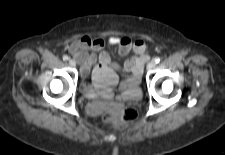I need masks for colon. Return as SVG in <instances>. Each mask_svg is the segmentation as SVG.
Masks as SVG:
<instances>
[{
  "label": "colon",
  "instance_id": "1",
  "mask_svg": "<svg viewBox=\"0 0 225 155\" xmlns=\"http://www.w3.org/2000/svg\"><path fill=\"white\" fill-rule=\"evenodd\" d=\"M137 118V111L132 107L107 111L102 115V121L107 127H115L121 123L131 122Z\"/></svg>",
  "mask_w": 225,
  "mask_h": 155
}]
</instances>
